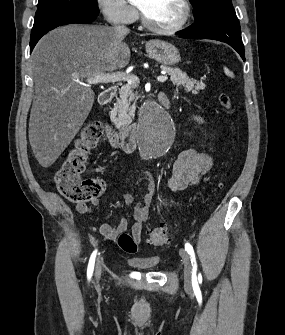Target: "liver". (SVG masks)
Returning <instances> with one entry per match:
<instances>
[{
	"instance_id": "liver-1",
	"label": "liver",
	"mask_w": 285,
	"mask_h": 335,
	"mask_svg": "<svg viewBox=\"0 0 285 335\" xmlns=\"http://www.w3.org/2000/svg\"><path fill=\"white\" fill-rule=\"evenodd\" d=\"M124 38L110 26L69 24L43 36L34 48L29 142L42 168L56 162L92 110L95 94L85 78L127 66Z\"/></svg>"
}]
</instances>
